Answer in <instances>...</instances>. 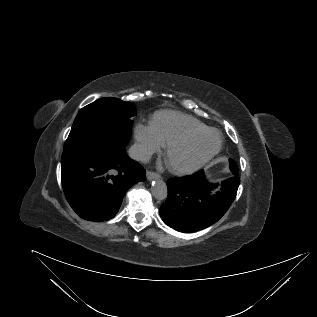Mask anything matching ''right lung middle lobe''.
Wrapping results in <instances>:
<instances>
[{"label": "right lung middle lobe", "mask_w": 317, "mask_h": 317, "mask_svg": "<svg viewBox=\"0 0 317 317\" xmlns=\"http://www.w3.org/2000/svg\"><path fill=\"white\" fill-rule=\"evenodd\" d=\"M134 105L107 97L82 108L65 142L61 162L75 160L106 143L126 146L131 136Z\"/></svg>", "instance_id": "1"}]
</instances>
